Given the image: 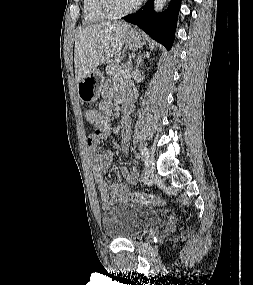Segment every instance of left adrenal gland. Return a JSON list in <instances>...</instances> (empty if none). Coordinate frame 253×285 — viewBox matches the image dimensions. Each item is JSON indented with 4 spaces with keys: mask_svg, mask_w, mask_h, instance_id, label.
Masks as SVG:
<instances>
[{
    "mask_svg": "<svg viewBox=\"0 0 253 285\" xmlns=\"http://www.w3.org/2000/svg\"><path fill=\"white\" fill-rule=\"evenodd\" d=\"M150 53H144V54H139L138 58H137V63H136V70H138L139 66L141 65V63L143 62V59L145 57H149Z\"/></svg>",
    "mask_w": 253,
    "mask_h": 285,
    "instance_id": "1",
    "label": "left adrenal gland"
}]
</instances>
